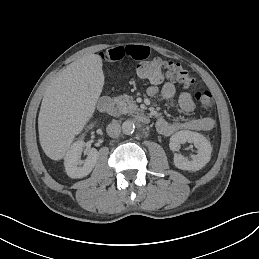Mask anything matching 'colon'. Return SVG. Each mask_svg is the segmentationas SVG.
<instances>
[{
    "label": "colon",
    "instance_id": "5ec220e1",
    "mask_svg": "<svg viewBox=\"0 0 259 259\" xmlns=\"http://www.w3.org/2000/svg\"><path fill=\"white\" fill-rule=\"evenodd\" d=\"M140 78L150 83H160L168 79L178 82L184 87H190L194 79L182 68L181 65L166 61L161 58H153L141 63L137 68ZM195 101L208 113L214 110V101L209 91H200L195 94Z\"/></svg>",
    "mask_w": 259,
    "mask_h": 259
}]
</instances>
